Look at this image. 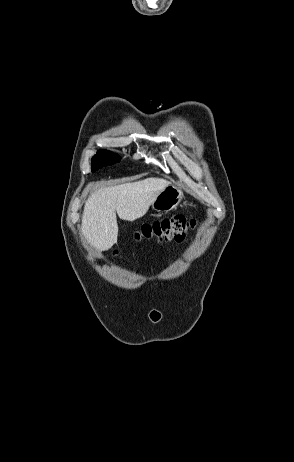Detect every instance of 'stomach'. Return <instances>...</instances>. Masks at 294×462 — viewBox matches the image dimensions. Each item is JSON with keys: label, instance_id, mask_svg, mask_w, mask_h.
<instances>
[{"label": "stomach", "instance_id": "1", "mask_svg": "<svg viewBox=\"0 0 294 462\" xmlns=\"http://www.w3.org/2000/svg\"><path fill=\"white\" fill-rule=\"evenodd\" d=\"M183 197L182 191L174 186L168 185L163 189L151 204V208L159 213H168L179 205Z\"/></svg>", "mask_w": 294, "mask_h": 462}]
</instances>
